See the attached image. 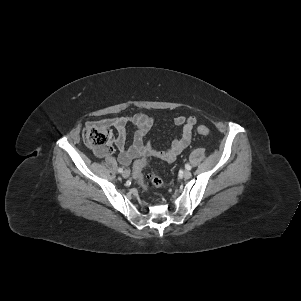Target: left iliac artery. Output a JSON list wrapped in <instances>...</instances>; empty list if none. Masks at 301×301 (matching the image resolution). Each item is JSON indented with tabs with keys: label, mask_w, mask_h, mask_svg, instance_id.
<instances>
[{
	"label": "left iliac artery",
	"mask_w": 301,
	"mask_h": 301,
	"mask_svg": "<svg viewBox=\"0 0 301 301\" xmlns=\"http://www.w3.org/2000/svg\"><path fill=\"white\" fill-rule=\"evenodd\" d=\"M185 168H186L187 170H191V166H190L189 164H186V165H185Z\"/></svg>",
	"instance_id": "44dca946"
}]
</instances>
